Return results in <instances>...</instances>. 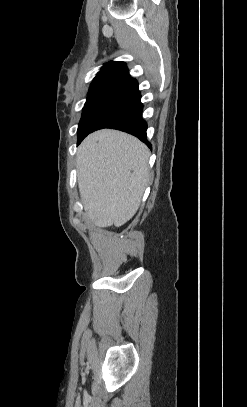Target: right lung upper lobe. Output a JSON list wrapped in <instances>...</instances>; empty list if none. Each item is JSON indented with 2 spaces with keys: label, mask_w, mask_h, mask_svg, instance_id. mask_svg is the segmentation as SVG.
<instances>
[{
  "label": "right lung upper lobe",
  "mask_w": 247,
  "mask_h": 407,
  "mask_svg": "<svg viewBox=\"0 0 247 407\" xmlns=\"http://www.w3.org/2000/svg\"><path fill=\"white\" fill-rule=\"evenodd\" d=\"M114 89H128L139 93L138 83L129 75L124 62L111 61L104 64L91 83L88 97Z\"/></svg>",
  "instance_id": "1"
}]
</instances>
